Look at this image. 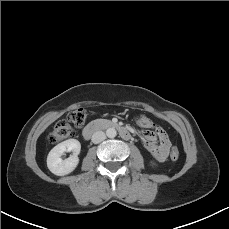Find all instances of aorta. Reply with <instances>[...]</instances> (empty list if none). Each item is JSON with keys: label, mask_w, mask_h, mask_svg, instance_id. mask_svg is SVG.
I'll list each match as a JSON object with an SVG mask.
<instances>
[{"label": "aorta", "mask_w": 229, "mask_h": 229, "mask_svg": "<svg viewBox=\"0 0 229 229\" xmlns=\"http://www.w3.org/2000/svg\"><path fill=\"white\" fill-rule=\"evenodd\" d=\"M106 135H107V137H109V138H114V137H116V135H117V131H116L114 128H108V129L106 130Z\"/></svg>", "instance_id": "1"}]
</instances>
